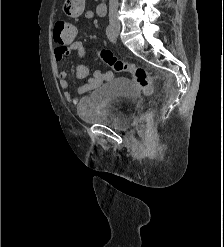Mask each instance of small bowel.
Returning <instances> with one entry per match:
<instances>
[{
    "mask_svg": "<svg viewBox=\"0 0 224 247\" xmlns=\"http://www.w3.org/2000/svg\"><path fill=\"white\" fill-rule=\"evenodd\" d=\"M64 12L70 17H80L81 15H84L86 19H91L94 17L93 11H84V0H65ZM55 42L56 47L54 49L53 54L56 61L63 60L71 51L81 52L84 48L81 42L75 40L68 42H60L58 40H55ZM58 83L59 86L63 90H65V99L71 104H76L77 99L67 91L69 83L67 80L66 71L62 70L58 72Z\"/></svg>",
    "mask_w": 224,
    "mask_h": 247,
    "instance_id": "c3829d8e",
    "label": "small bowel"
}]
</instances>
